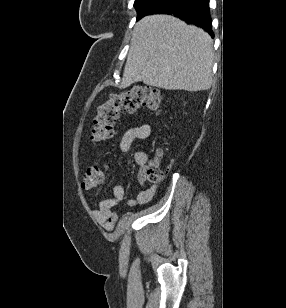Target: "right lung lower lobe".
Returning a JSON list of instances; mask_svg holds the SVG:
<instances>
[{"label": "right lung lower lobe", "instance_id": "1", "mask_svg": "<svg viewBox=\"0 0 286 308\" xmlns=\"http://www.w3.org/2000/svg\"><path fill=\"white\" fill-rule=\"evenodd\" d=\"M173 14L178 18L204 28L212 37L209 0H170L150 14Z\"/></svg>", "mask_w": 286, "mask_h": 308}]
</instances>
